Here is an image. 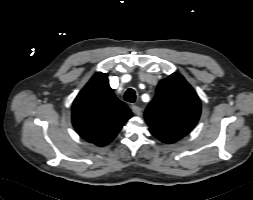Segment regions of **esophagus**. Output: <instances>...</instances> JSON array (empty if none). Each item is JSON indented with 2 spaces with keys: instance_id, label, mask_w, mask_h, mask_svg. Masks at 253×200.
<instances>
[{
  "instance_id": "obj_1",
  "label": "esophagus",
  "mask_w": 253,
  "mask_h": 200,
  "mask_svg": "<svg viewBox=\"0 0 253 200\" xmlns=\"http://www.w3.org/2000/svg\"><path fill=\"white\" fill-rule=\"evenodd\" d=\"M131 109L133 111L134 114L136 115H141L142 114V109L136 105H132Z\"/></svg>"
}]
</instances>
